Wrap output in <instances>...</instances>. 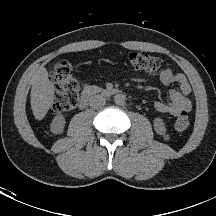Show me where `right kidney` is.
Wrapping results in <instances>:
<instances>
[{
    "mask_svg": "<svg viewBox=\"0 0 216 216\" xmlns=\"http://www.w3.org/2000/svg\"><path fill=\"white\" fill-rule=\"evenodd\" d=\"M65 127V119L63 115H57L54 117L51 123V131L55 134H60L63 132Z\"/></svg>",
    "mask_w": 216,
    "mask_h": 216,
    "instance_id": "right-kidney-1",
    "label": "right kidney"
}]
</instances>
